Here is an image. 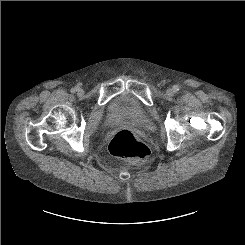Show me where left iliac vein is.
Here are the masks:
<instances>
[{
	"instance_id": "4c4485c4",
	"label": "left iliac vein",
	"mask_w": 245,
	"mask_h": 245,
	"mask_svg": "<svg viewBox=\"0 0 245 245\" xmlns=\"http://www.w3.org/2000/svg\"><path fill=\"white\" fill-rule=\"evenodd\" d=\"M166 94H167L168 96H173L174 92H173L172 89H169V90H167Z\"/></svg>"
}]
</instances>
